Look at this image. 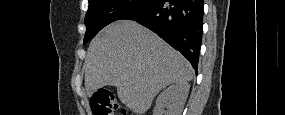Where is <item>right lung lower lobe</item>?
<instances>
[{
  "mask_svg": "<svg viewBox=\"0 0 285 115\" xmlns=\"http://www.w3.org/2000/svg\"><path fill=\"white\" fill-rule=\"evenodd\" d=\"M203 0H153L121 19L149 28L191 63L197 73L203 32Z\"/></svg>",
  "mask_w": 285,
  "mask_h": 115,
  "instance_id": "98d812e1",
  "label": "right lung lower lobe"
}]
</instances>
